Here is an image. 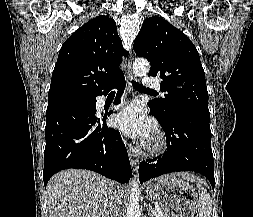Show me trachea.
Listing matches in <instances>:
<instances>
[{
    "mask_svg": "<svg viewBox=\"0 0 253 217\" xmlns=\"http://www.w3.org/2000/svg\"><path fill=\"white\" fill-rule=\"evenodd\" d=\"M132 85L135 89H138V90H141V91H145V92H149V93H152V94H156L155 91L153 90H149L148 88L140 85L139 83L135 82V81H132Z\"/></svg>",
    "mask_w": 253,
    "mask_h": 217,
    "instance_id": "3493384b",
    "label": "trachea"
}]
</instances>
